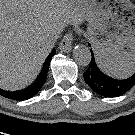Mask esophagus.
I'll return each instance as SVG.
<instances>
[{
	"label": "esophagus",
	"mask_w": 135,
	"mask_h": 135,
	"mask_svg": "<svg viewBox=\"0 0 135 135\" xmlns=\"http://www.w3.org/2000/svg\"><path fill=\"white\" fill-rule=\"evenodd\" d=\"M72 41H73V33L72 32L66 33L59 44V49L66 53L70 52L72 49Z\"/></svg>",
	"instance_id": "esophagus-1"
}]
</instances>
